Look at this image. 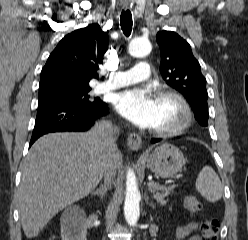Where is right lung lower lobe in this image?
Wrapping results in <instances>:
<instances>
[{"label": "right lung lower lobe", "mask_w": 248, "mask_h": 240, "mask_svg": "<svg viewBox=\"0 0 248 240\" xmlns=\"http://www.w3.org/2000/svg\"><path fill=\"white\" fill-rule=\"evenodd\" d=\"M108 113L107 105H75L66 102L39 103L30 146L42 135L60 131H85Z\"/></svg>", "instance_id": "right-lung-lower-lobe-1"}]
</instances>
